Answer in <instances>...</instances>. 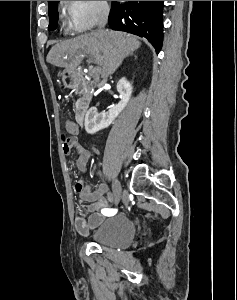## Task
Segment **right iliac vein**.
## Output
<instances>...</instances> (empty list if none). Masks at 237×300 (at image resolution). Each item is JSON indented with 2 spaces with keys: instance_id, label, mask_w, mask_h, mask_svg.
<instances>
[{
  "instance_id": "1",
  "label": "right iliac vein",
  "mask_w": 237,
  "mask_h": 300,
  "mask_svg": "<svg viewBox=\"0 0 237 300\" xmlns=\"http://www.w3.org/2000/svg\"><path fill=\"white\" fill-rule=\"evenodd\" d=\"M122 186L118 180L114 182L113 185V204L117 205L121 198Z\"/></svg>"
}]
</instances>
